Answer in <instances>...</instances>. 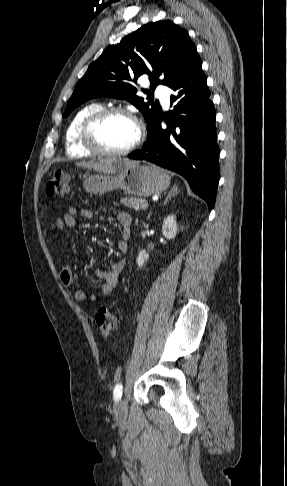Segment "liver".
<instances>
[{"label":"liver","instance_id":"6515ba94","mask_svg":"<svg viewBox=\"0 0 287 486\" xmlns=\"http://www.w3.org/2000/svg\"><path fill=\"white\" fill-rule=\"evenodd\" d=\"M137 161H131L127 158H110L101 160L99 162L88 161V162H76L78 167L87 168L104 174H113L123 169L124 166H130L138 164Z\"/></svg>","mask_w":287,"mask_h":486}]
</instances>
